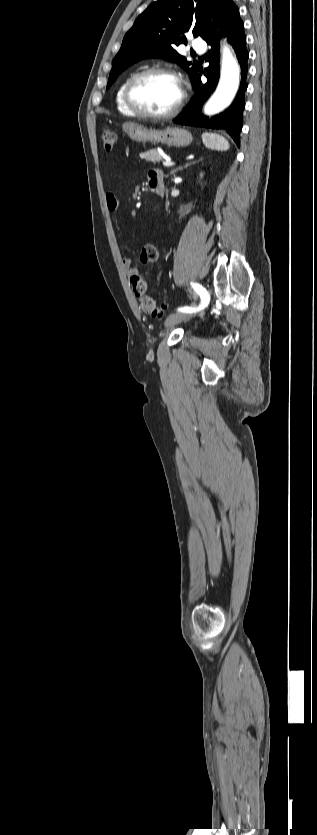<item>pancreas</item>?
<instances>
[{
	"label": "pancreas",
	"mask_w": 317,
	"mask_h": 835,
	"mask_svg": "<svg viewBox=\"0 0 317 835\" xmlns=\"http://www.w3.org/2000/svg\"><path fill=\"white\" fill-rule=\"evenodd\" d=\"M140 158L146 160L147 162L156 163L162 160L161 155L155 149L148 150L144 153L140 154Z\"/></svg>",
	"instance_id": "1"
}]
</instances>
